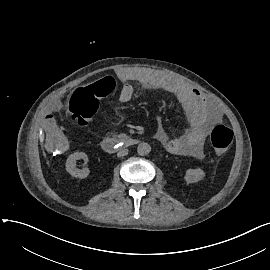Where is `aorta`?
<instances>
[{
    "mask_svg": "<svg viewBox=\"0 0 270 270\" xmlns=\"http://www.w3.org/2000/svg\"><path fill=\"white\" fill-rule=\"evenodd\" d=\"M137 151L139 155L145 156L151 152V147L148 143H140L138 145Z\"/></svg>",
    "mask_w": 270,
    "mask_h": 270,
    "instance_id": "obj_1",
    "label": "aorta"
}]
</instances>
